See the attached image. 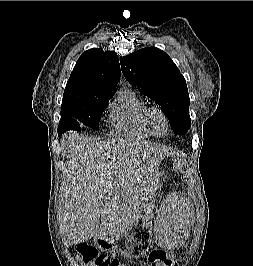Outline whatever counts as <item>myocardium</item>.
<instances>
[{"label":"myocardium","mask_w":253,"mask_h":266,"mask_svg":"<svg viewBox=\"0 0 253 266\" xmlns=\"http://www.w3.org/2000/svg\"><path fill=\"white\" fill-rule=\"evenodd\" d=\"M154 114H159L166 122V131L164 134H158L155 132L154 128H153V125H152V116ZM144 122H145V125L148 129V131L150 132L151 135L155 136V137H163L166 135V133L168 132L169 128H170V122H169V119H168V116L166 115V113L159 107H148L145 111V114H144Z\"/></svg>","instance_id":"obj_1"}]
</instances>
